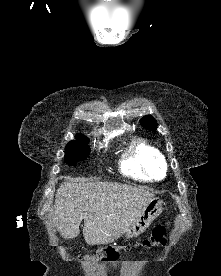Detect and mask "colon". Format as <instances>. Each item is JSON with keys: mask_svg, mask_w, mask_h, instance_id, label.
Instances as JSON below:
<instances>
[{"mask_svg": "<svg viewBox=\"0 0 221 276\" xmlns=\"http://www.w3.org/2000/svg\"><path fill=\"white\" fill-rule=\"evenodd\" d=\"M167 225H157L150 237L142 242H130V244H120V246L100 245V249L94 255L88 256L90 259H95L103 262L117 261L121 256V251H131L133 247H153L166 243Z\"/></svg>", "mask_w": 221, "mask_h": 276, "instance_id": "obj_1", "label": "colon"}]
</instances>
